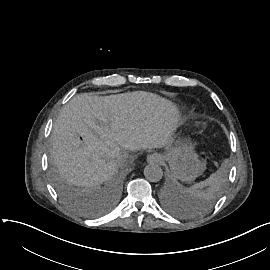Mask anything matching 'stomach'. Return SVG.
Returning <instances> with one entry per match:
<instances>
[{
	"label": "stomach",
	"instance_id": "1",
	"mask_svg": "<svg viewBox=\"0 0 270 270\" xmlns=\"http://www.w3.org/2000/svg\"><path fill=\"white\" fill-rule=\"evenodd\" d=\"M194 148L195 144L189 139L177 140L174 146H166L164 154H158L161 161H168L169 172L173 179L190 183L202 175L206 165L199 159Z\"/></svg>",
	"mask_w": 270,
	"mask_h": 270
}]
</instances>
